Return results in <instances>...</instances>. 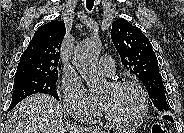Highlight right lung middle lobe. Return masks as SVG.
Wrapping results in <instances>:
<instances>
[{"label":"right lung middle lobe","instance_id":"1","mask_svg":"<svg viewBox=\"0 0 184 133\" xmlns=\"http://www.w3.org/2000/svg\"><path fill=\"white\" fill-rule=\"evenodd\" d=\"M56 77H24L15 78L14 80V92L12 94V102L9 110L16 106L20 101L27 96L37 93L49 94L59 100L56 91Z\"/></svg>","mask_w":184,"mask_h":133}]
</instances>
